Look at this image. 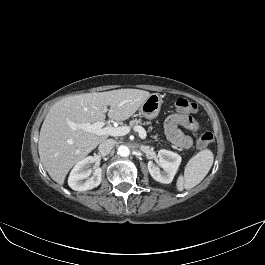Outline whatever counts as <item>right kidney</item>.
<instances>
[{
    "mask_svg": "<svg viewBox=\"0 0 265 265\" xmlns=\"http://www.w3.org/2000/svg\"><path fill=\"white\" fill-rule=\"evenodd\" d=\"M95 162L92 156L79 161L71 170L68 185L75 191H86L100 185L102 181V169L97 167L94 171L90 165ZM92 174L91 177H89Z\"/></svg>",
    "mask_w": 265,
    "mask_h": 265,
    "instance_id": "right-kidney-1",
    "label": "right kidney"
}]
</instances>
